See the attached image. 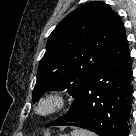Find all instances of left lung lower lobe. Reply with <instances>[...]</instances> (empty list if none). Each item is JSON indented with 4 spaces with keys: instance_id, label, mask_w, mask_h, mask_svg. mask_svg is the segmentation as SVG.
Wrapping results in <instances>:
<instances>
[{
    "instance_id": "0a47b994",
    "label": "left lung lower lobe",
    "mask_w": 136,
    "mask_h": 136,
    "mask_svg": "<svg viewBox=\"0 0 136 136\" xmlns=\"http://www.w3.org/2000/svg\"><path fill=\"white\" fill-rule=\"evenodd\" d=\"M123 25L101 65L76 95L69 112L48 124L76 126L99 136H128L132 86Z\"/></svg>"
}]
</instances>
